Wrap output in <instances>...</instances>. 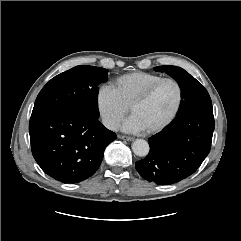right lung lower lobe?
<instances>
[{
    "label": "right lung lower lobe",
    "instance_id": "obj_1",
    "mask_svg": "<svg viewBox=\"0 0 241 241\" xmlns=\"http://www.w3.org/2000/svg\"><path fill=\"white\" fill-rule=\"evenodd\" d=\"M31 149L41 169L62 183H78L99 168L116 134L98 118L73 110L31 115Z\"/></svg>",
    "mask_w": 241,
    "mask_h": 241
}]
</instances>
